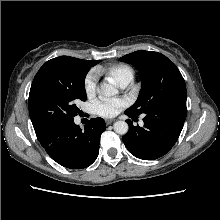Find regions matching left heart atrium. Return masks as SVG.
I'll return each mask as SVG.
<instances>
[{
	"label": "left heart atrium",
	"mask_w": 220,
	"mask_h": 220,
	"mask_svg": "<svg viewBox=\"0 0 220 220\" xmlns=\"http://www.w3.org/2000/svg\"><path fill=\"white\" fill-rule=\"evenodd\" d=\"M123 102L114 99H99L94 102V112L103 117L115 116L123 107Z\"/></svg>",
	"instance_id": "left-heart-atrium-1"
}]
</instances>
